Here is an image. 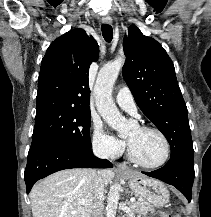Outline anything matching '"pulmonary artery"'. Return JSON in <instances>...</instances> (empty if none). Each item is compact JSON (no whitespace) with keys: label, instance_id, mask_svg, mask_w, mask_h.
Instances as JSON below:
<instances>
[{"label":"pulmonary artery","instance_id":"obj_1","mask_svg":"<svg viewBox=\"0 0 211 217\" xmlns=\"http://www.w3.org/2000/svg\"><path fill=\"white\" fill-rule=\"evenodd\" d=\"M115 100L121 109L131 115L138 116L135 100L130 89L127 86H123L119 89Z\"/></svg>","mask_w":211,"mask_h":217}]
</instances>
